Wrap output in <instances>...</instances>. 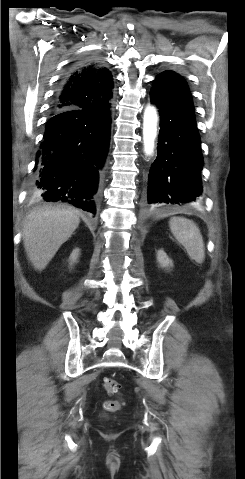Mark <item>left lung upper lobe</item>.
Returning <instances> with one entry per match:
<instances>
[{
	"instance_id": "1",
	"label": "left lung upper lobe",
	"mask_w": 245,
	"mask_h": 479,
	"mask_svg": "<svg viewBox=\"0 0 245 479\" xmlns=\"http://www.w3.org/2000/svg\"><path fill=\"white\" fill-rule=\"evenodd\" d=\"M170 75H176L173 71H164L160 73L157 77H162V76H170Z\"/></svg>"
}]
</instances>
